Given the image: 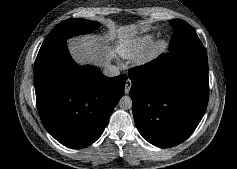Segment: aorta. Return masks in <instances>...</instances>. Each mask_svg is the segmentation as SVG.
I'll return each instance as SVG.
<instances>
[{"label":"aorta","instance_id":"obj_1","mask_svg":"<svg viewBox=\"0 0 237 169\" xmlns=\"http://www.w3.org/2000/svg\"><path fill=\"white\" fill-rule=\"evenodd\" d=\"M119 107L123 110H128L132 108V99L129 96H123L119 100Z\"/></svg>","mask_w":237,"mask_h":169}]
</instances>
